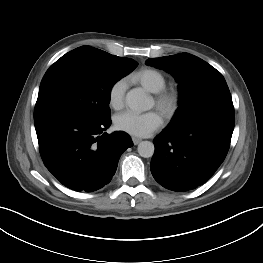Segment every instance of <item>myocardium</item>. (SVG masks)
Masks as SVG:
<instances>
[{
  "label": "myocardium",
  "mask_w": 263,
  "mask_h": 263,
  "mask_svg": "<svg viewBox=\"0 0 263 263\" xmlns=\"http://www.w3.org/2000/svg\"><path fill=\"white\" fill-rule=\"evenodd\" d=\"M154 102L165 118L170 119L180 107L181 95L176 89L163 88L155 94Z\"/></svg>",
  "instance_id": "obj_1"
}]
</instances>
